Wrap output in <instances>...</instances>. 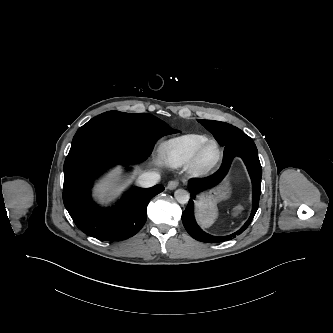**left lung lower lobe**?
Returning <instances> with one entry per match:
<instances>
[{"instance_id": "obj_1", "label": "left lung lower lobe", "mask_w": 333, "mask_h": 333, "mask_svg": "<svg viewBox=\"0 0 333 333\" xmlns=\"http://www.w3.org/2000/svg\"><path fill=\"white\" fill-rule=\"evenodd\" d=\"M235 156L241 157L247 167L253 185V208L249 219L235 233L228 236H212L204 232L196 223L193 214V199L197 192L214 187L219 184L227 175L232 160ZM262 168L258 158V151L253 140L244 132L233 135L224 146V158L220 168L212 175L201 178L191 179L188 188L191 192V199L182 214V222L187 232L196 240L206 243H218L227 241L236 235L241 234L251 223L258 209L261 193Z\"/></svg>"}]
</instances>
